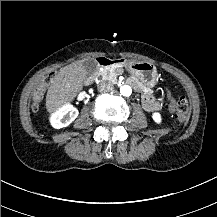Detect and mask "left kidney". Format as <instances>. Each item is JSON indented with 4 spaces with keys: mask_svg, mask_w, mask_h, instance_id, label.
I'll return each mask as SVG.
<instances>
[{
    "mask_svg": "<svg viewBox=\"0 0 217 217\" xmlns=\"http://www.w3.org/2000/svg\"><path fill=\"white\" fill-rule=\"evenodd\" d=\"M151 118L155 124L157 125L162 124V115L160 112H157V111L152 112Z\"/></svg>",
    "mask_w": 217,
    "mask_h": 217,
    "instance_id": "1",
    "label": "left kidney"
}]
</instances>
